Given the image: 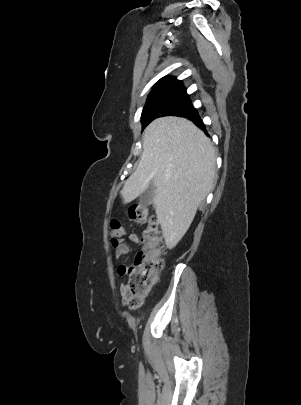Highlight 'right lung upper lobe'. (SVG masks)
<instances>
[{
    "label": "right lung upper lobe",
    "mask_w": 301,
    "mask_h": 405,
    "mask_svg": "<svg viewBox=\"0 0 301 405\" xmlns=\"http://www.w3.org/2000/svg\"><path fill=\"white\" fill-rule=\"evenodd\" d=\"M175 90H185V88L182 85V81L176 80L174 77L166 76L160 79L154 86V90L150 93L149 97L165 93V92H170V91H175Z\"/></svg>",
    "instance_id": "1"
}]
</instances>
